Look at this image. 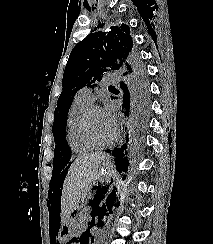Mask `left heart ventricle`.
Here are the masks:
<instances>
[{"mask_svg":"<svg viewBox=\"0 0 213 244\" xmlns=\"http://www.w3.org/2000/svg\"><path fill=\"white\" fill-rule=\"evenodd\" d=\"M90 126L93 134L100 140H106L113 134L114 128L105 120L102 110L95 109L90 115Z\"/></svg>","mask_w":213,"mask_h":244,"instance_id":"left-heart-ventricle-1","label":"left heart ventricle"}]
</instances>
